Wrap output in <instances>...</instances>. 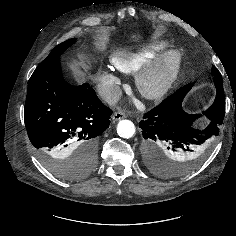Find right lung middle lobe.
<instances>
[{
    "label": "right lung middle lobe",
    "instance_id": "obj_1",
    "mask_svg": "<svg viewBox=\"0 0 236 236\" xmlns=\"http://www.w3.org/2000/svg\"><path fill=\"white\" fill-rule=\"evenodd\" d=\"M74 42L75 39H69L56 46L40 65L60 60L61 54ZM41 158L49 171L65 179H77L83 177L88 174L95 165V163H92L90 160L77 161L72 158L63 159L51 155H42Z\"/></svg>",
    "mask_w": 236,
    "mask_h": 236
}]
</instances>
